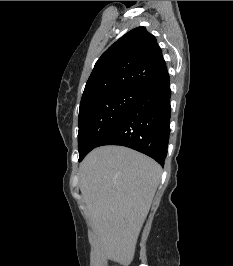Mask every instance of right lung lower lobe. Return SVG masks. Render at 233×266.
<instances>
[{"instance_id": "obj_1", "label": "right lung lower lobe", "mask_w": 233, "mask_h": 266, "mask_svg": "<svg viewBox=\"0 0 233 266\" xmlns=\"http://www.w3.org/2000/svg\"><path fill=\"white\" fill-rule=\"evenodd\" d=\"M169 74L144 91L128 113L98 142L122 145L142 152L164 165L170 134ZM85 156L79 158V162Z\"/></svg>"}]
</instances>
